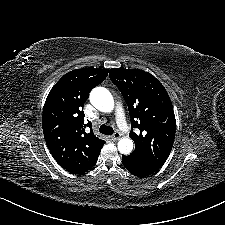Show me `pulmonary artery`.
Masks as SVG:
<instances>
[{
  "label": "pulmonary artery",
  "mask_w": 225,
  "mask_h": 225,
  "mask_svg": "<svg viewBox=\"0 0 225 225\" xmlns=\"http://www.w3.org/2000/svg\"><path fill=\"white\" fill-rule=\"evenodd\" d=\"M113 108H114V103H113V102L110 103V104L107 106V110H108L109 112H111V111L113 110ZM115 115H116V117L118 118V120L120 121V128H121V129L124 128V127H123V123H124L125 117H124V114H123L122 110H121L120 108L115 107Z\"/></svg>",
  "instance_id": "1"
}]
</instances>
